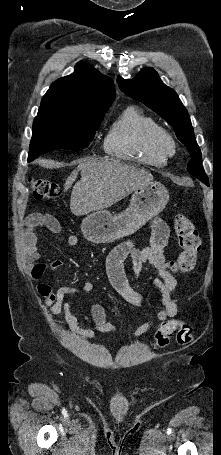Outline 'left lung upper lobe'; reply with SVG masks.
Returning <instances> with one entry per match:
<instances>
[{"label": "left lung upper lobe", "instance_id": "5c2ea615", "mask_svg": "<svg viewBox=\"0 0 221 455\" xmlns=\"http://www.w3.org/2000/svg\"><path fill=\"white\" fill-rule=\"evenodd\" d=\"M120 89L129 97L142 102L173 126L178 139L191 154L188 171L204 182L208 178L201 166V151L197 145L190 117L176 92L166 86L151 67L143 68L132 80L118 76Z\"/></svg>", "mask_w": 221, "mask_h": 455}]
</instances>
